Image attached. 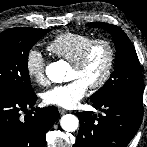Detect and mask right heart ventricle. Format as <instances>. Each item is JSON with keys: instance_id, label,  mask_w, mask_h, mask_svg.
<instances>
[{"instance_id": "right-heart-ventricle-1", "label": "right heart ventricle", "mask_w": 147, "mask_h": 147, "mask_svg": "<svg viewBox=\"0 0 147 147\" xmlns=\"http://www.w3.org/2000/svg\"><path fill=\"white\" fill-rule=\"evenodd\" d=\"M93 39L88 34L66 32L56 36L47 49L58 58L73 63Z\"/></svg>"}]
</instances>
